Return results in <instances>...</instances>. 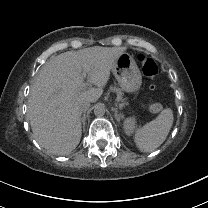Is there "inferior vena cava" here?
<instances>
[{
    "label": "inferior vena cava",
    "instance_id": "inferior-vena-cava-1",
    "mask_svg": "<svg viewBox=\"0 0 208 208\" xmlns=\"http://www.w3.org/2000/svg\"><path fill=\"white\" fill-rule=\"evenodd\" d=\"M90 107V102L87 99L80 98L77 102L76 108L79 112H85Z\"/></svg>",
    "mask_w": 208,
    "mask_h": 208
}]
</instances>
